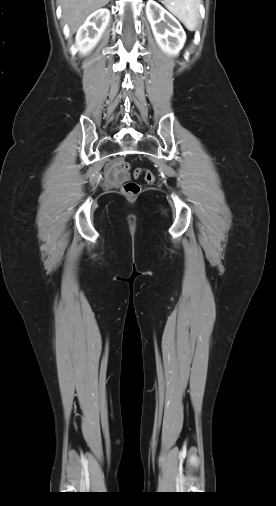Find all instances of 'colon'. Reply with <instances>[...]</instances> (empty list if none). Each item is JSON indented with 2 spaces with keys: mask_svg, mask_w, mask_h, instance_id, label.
<instances>
[{
  "mask_svg": "<svg viewBox=\"0 0 276 506\" xmlns=\"http://www.w3.org/2000/svg\"><path fill=\"white\" fill-rule=\"evenodd\" d=\"M116 168L121 170L122 172H127L130 170V164L127 162H117L115 164ZM144 176V179L147 183H154L156 180L155 174L150 170H145L138 168L134 171V177L139 178L140 176ZM122 193L128 198H135L140 193V186L138 183L134 181L126 182L122 186Z\"/></svg>",
  "mask_w": 276,
  "mask_h": 506,
  "instance_id": "colon-1",
  "label": "colon"
}]
</instances>
